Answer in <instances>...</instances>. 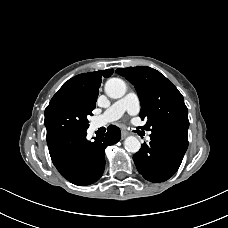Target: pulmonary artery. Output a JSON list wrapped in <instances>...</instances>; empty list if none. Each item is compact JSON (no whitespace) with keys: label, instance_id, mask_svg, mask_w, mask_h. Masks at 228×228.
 Returning <instances> with one entry per match:
<instances>
[{"label":"pulmonary artery","instance_id":"pulmonary-artery-1","mask_svg":"<svg viewBox=\"0 0 228 228\" xmlns=\"http://www.w3.org/2000/svg\"><path fill=\"white\" fill-rule=\"evenodd\" d=\"M140 110V102L136 93L130 92L123 98L114 102L97 120L96 125L101 126L108 122L119 119L124 113L130 115L138 114ZM150 140V136L146 137Z\"/></svg>","mask_w":228,"mask_h":228}]
</instances>
